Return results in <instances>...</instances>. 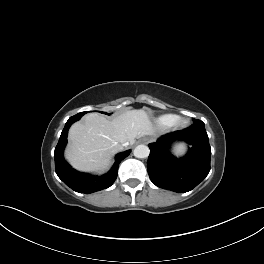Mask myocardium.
<instances>
[{
  "instance_id": "obj_1",
  "label": "myocardium",
  "mask_w": 264,
  "mask_h": 264,
  "mask_svg": "<svg viewBox=\"0 0 264 264\" xmlns=\"http://www.w3.org/2000/svg\"><path fill=\"white\" fill-rule=\"evenodd\" d=\"M186 124H187V120L185 118L178 117L175 120L174 126L180 128L186 126Z\"/></svg>"
}]
</instances>
